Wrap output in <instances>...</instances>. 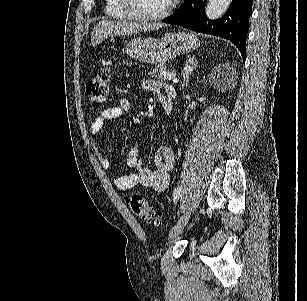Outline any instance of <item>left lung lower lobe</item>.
I'll return each instance as SVG.
<instances>
[{
	"instance_id": "obj_1",
	"label": "left lung lower lobe",
	"mask_w": 307,
	"mask_h": 301,
	"mask_svg": "<svg viewBox=\"0 0 307 301\" xmlns=\"http://www.w3.org/2000/svg\"><path fill=\"white\" fill-rule=\"evenodd\" d=\"M206 3L207 0H185L179 9L163 22L228 39L238 47L245 60V41L252 13V0H232L224 16L215 21L207 19L204 11Z\"/></svg>"
}]
</instances>
